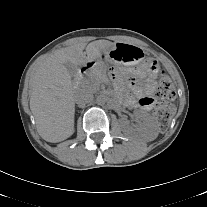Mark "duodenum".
Listing matches in <instances>:
<instances>
[{"mask_svg":"<svg viewBox=\"0 0 207 207\" xmlns=\"http://www.w3.org/2000/svg\"><path fill=\"white\" fill-rule=\"evenodd\" d=\"M92 67V63L91 62H85L82 66H81V68H80V72L81 73H83V72H85V71H87L89 68H91Z\"/></svg>","mask_w":207,"mask_h":207,"instance_id":"410a0bca","label":"duodenum"}]
</instances>
